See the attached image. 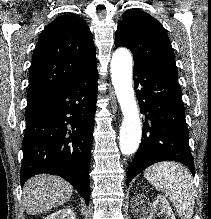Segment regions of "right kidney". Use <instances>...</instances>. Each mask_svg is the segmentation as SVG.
<instances>
[{
  "mask_svg": "<svg viewBox=\"0 0 211 219\" xmlns=\"http://www.w3.org/2000/svg\"><path fill=\"white\" fill-rule=\"evenodd\" d=\"M44 219H75V213L70 208L60 209Z\"/></svg>",
  "mask_w": 211,
  "mask_h": 219,
  "instance_id": "right-kidney-1",
  "label": "right kidney"
}]
</instances>
